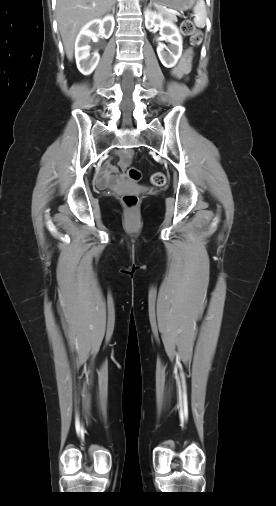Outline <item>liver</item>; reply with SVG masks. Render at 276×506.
I'll return each mask as SVG.
<instances>
[{"instance_id": "1", "label": "liver", "mask_w": 276, "mask_h": 506, "mask_svg": "<svg viewBox=\"0 0 276 506\" xmlns=\"http://www.w3.org/2000/svg\"><path fill=\"white\" fill-rule=\"evenodd\" d=\"M115 0H57L56 14L66 56L73 59L74 41L80 28L109 12Z\"/></svg>"}]
</instances>
